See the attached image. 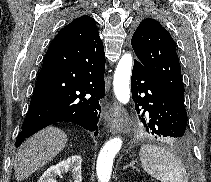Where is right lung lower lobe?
Listing matches in <instances>:
<instances>
[{"mask_svg":"<svg viewBox=\"0 0 211 182\" xmlns=\"http://www.w3.org/2000/svg\"><path fill=\"white\" fill-rule=\"evenodd\" d=\"M105 54L99 37L52 41L36 81L16 147L57 122H72L98 135L100 100L105 96Z\"/></svg>","mask_w":211,"mask_h":182,"instance_id":"obj_1","label":"right lung lower lobe"}]
</instances>
